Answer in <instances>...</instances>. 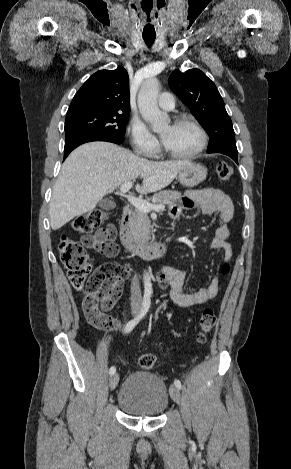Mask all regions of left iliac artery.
Instances as JSON below:
<instances>
[{
	"instance_id": "left-iliac-artery-1",
	"label": "left iliac artery",
	"mask_w": 291,
	"mask_h": 469,
	"mask_svg": "<svg viewBox=\"0 0 291 469\" xmlns=\"http://www.w3.org/2000/svg\"><path fill=\"white\" fill-rule=\"evenodd\" d=\"M174 384H175V386H177L178 388H181V387H182L181 382H180V380H178V379H175V380H174Z\"/></svg>"
}]
</instances>
